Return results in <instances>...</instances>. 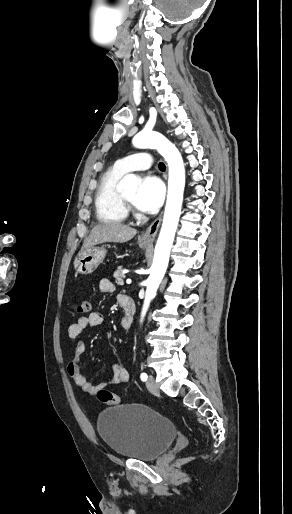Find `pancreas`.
Instances as JSON below:
<instances>
[{"label":"pancreas","mask_w":292,"mask_h":514,"mask_svg":"<svg viewBox=\"0 0 292 514\" xmlns=\"http://www.w3.org/2000/svg\"><path fill=\"white\" fill-rule=\"evenodd\" d=\"M124 270L123 268H118V270H116V272H114V278H115V282L116 284H118V286H124V280L123 278H125L124 274H123Z\"/></svg>","instance_id":"pancreas-1"}]
</instances>
